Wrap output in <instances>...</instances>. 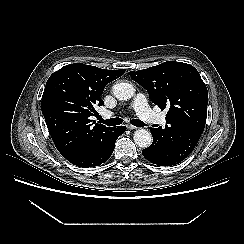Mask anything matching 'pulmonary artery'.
Segmentation results:
<instances>
[{"label":"pulmonary artery","mask_w":244,"mask_h":244,"mask_svg":"<svg viewBox=\"0 0 244 244\" xmlns=\"http://www.w3.org/2000/svg\"><path fill=\"white\" fill-rule=\"evenodd\" d=\"M132 107L137 115L145 122L150 124L164 125L166 123L165 116L154 112L150 109L147 99L143 94H137L132 103ZM112 112H105L104 117H111Z\"/></svg>","instance_id":"obj_1"}]
</instances>
